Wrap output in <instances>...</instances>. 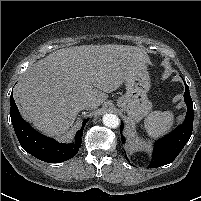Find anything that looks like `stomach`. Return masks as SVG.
<instances>
[{
  "label": "stomach",
  "mask_w": 201,
  "mask_h": 201,
  "mask_svg": "<svg viewBox=\"0 0 201 201\" xmlns=\"http://www.w3.org/2000/svg\"><path fill=\"white\" fill-rule=\"evenodd\" d=\"M126 92L117 100V106L127 113L131 121H140L152 109L147 93L150 90V76L147 65L127 74L125 77Z\"/></svg>",
  "instance_id": "0dacf381"
}]
</instances>
